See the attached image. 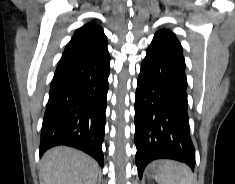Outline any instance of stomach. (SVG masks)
Returning <instances> with one entry per match:
<instances>
[{
	"label": "stomach",
	"instance_id": "obj_1",
	"mask_svg": "<svg viewBox=\"0 0 235 184\" xmlns=\"http://www.w3.org/2000/svg\"><path fill=\"white\" fill-rule=\"evenodd\" d=\"M158 164H160V162H154V164H152V166H149V168L146 172V176H148V178H153V176L157 170Z\"/></svg>",
	"mask_w": 235,
	"mask_h": 184
}]
</instances>
